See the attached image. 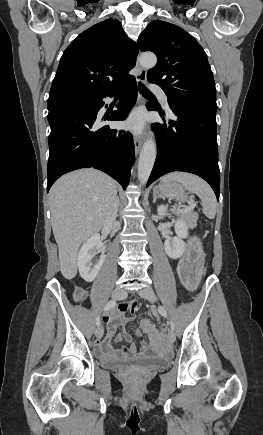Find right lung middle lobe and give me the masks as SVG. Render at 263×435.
<instances>
[{
    "instance_id": "obj_1",
    "label": "right lung middle lobe",
    "mask_w": 263,
    "mask_h": 435,
    "mask_svg": "<svg viewBox=\"0 0 263 435\" xmlns=\"http://www.w3.org/2000/svg\"><path fill=\"white\" fill-rule=\"evenodd\" d=\"M82 102H84V101H82ZM75 103H80V102H75ZM69 104H72V103H69ZM61 105H64V104H61ZM57 106H60V105L48 106V110H50V109H52L54 107H57Z\"/></svg>"
}]
</instances>
